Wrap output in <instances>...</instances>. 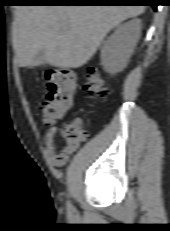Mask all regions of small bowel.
Returning <instances> with one entry per match:
<instances>
[{
	"label": "small bowel",
	"instance_id": "c3829d8e",
	"mask_svg": "<svg viewBox=\"0 0 170 231\" xmlns=\"http://www.w3.org/2000/svg\"><path fill=\"white\" fill-rule=\"evenodd\" d=\"M73 122L81 124V119L75 118ZM58 131L59 129L57 127H51L45 134L44 142L49 162L55 167H62L67 163L74 149L66 146L62 149L57 148L56 134Z\"/></svg>",
	"mask_w": 170,
	"mask_h": 231
}]
</instances>
